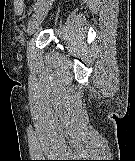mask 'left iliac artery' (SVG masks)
Wrapping results in <instances>:
<instances>
[{
  "label": "left iliac artery",
  "mask_w": 135,
  "mask_h": 161,
  "mask_svg": "<svg viewBox=\"0 0 135 161\" xmlns=\"http://www.w3.org/2000/svg\"><path fill=\"white\" fill-rule=\"evenodd\" d=\"M42 2H43V0H37L35 5L33 6V10L32 11H35Z\"/></svg>",
  "instance_id": "left-iliac-artery-1"
}]
</instances>
